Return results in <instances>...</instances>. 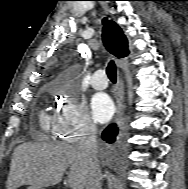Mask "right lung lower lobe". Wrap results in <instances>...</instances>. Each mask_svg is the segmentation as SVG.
<instances>
[{
	"instance_id": "1",
	"label": "right lung lower lobe",
	"mask_w": 188,
	"mask_h": 189,
	"mask_svg": "<svg viewBox=\"0 0 188 189\" xmlns=\"http://www.w3.org/2000/svg\"><path fill=\"white\" fill-rule=\"evenodd\" d=\"M118 128L115 124L108 126L102 133V138L107 143H113L116 139Z\"/></svg>"
}]
</instances>
